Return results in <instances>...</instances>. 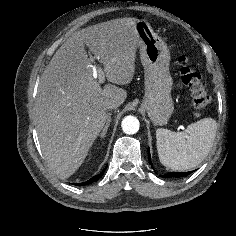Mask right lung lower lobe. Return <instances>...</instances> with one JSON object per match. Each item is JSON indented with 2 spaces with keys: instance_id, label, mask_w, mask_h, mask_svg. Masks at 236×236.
<instances>
[{
  "instance_id": "obj_1",
  "label": "right lung lower lobe",
  "mask_w": 236,
  "mask_h": 236,
  "mask_svg": "<svg viewBox=\"0 0 236 236\" xmlns=\"http://www.w3.org/2000/svg\"><path fill=\"white\" fill-rule=\"evenodd\" d=\"M106 167H107V166H106ZM106 167H105V169H106ZM105 169H104L100 174L93 176V177H92L91 179H89L87 182H84V183H75V184H73V185L84 186V185H86V184H91V183H93V182H96L99 178L102 177V175H103Z\"/></svg>"
}]
</instances>
